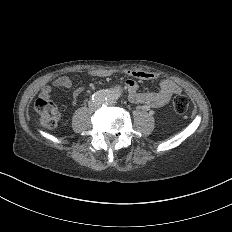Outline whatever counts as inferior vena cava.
I'll return each instance as SVG.
<instances>
[{"mask_svg":"<svg viewBox=\"0 0 232 232\" xmlns=\"http://www.w3.org/2000/svg\"><path fill=\"white\" fill-rule=\"evenodd\" d=\"M89 107L94 110V111H97L99 108H100V105L99 104H94L92 101L89 102Z\"/></svg>","mask_w":232,"mask_h":232,"instance_id":"inferior-vena-cava-1","label":"inferior vena cava"}]
</instances>
